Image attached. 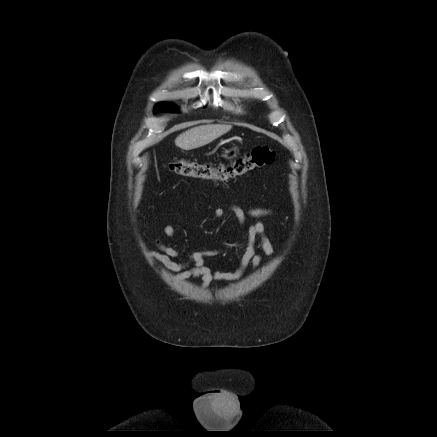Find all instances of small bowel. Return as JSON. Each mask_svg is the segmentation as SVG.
Segmentation results:
<instances>
[{
    "label": "small bowel",
    "instance_id": "1",
    "mask_svg": "<svg viewBox=\"0 0 437 437\" xmlns=\"http://www.w3.org/2000/svg\"><path fill=\"white\" fill-rule=\"evenodd\" d=\"M231 210L240 230L244 227L247 216L255 219L247 229L246 248L241 256L239 267L236 270H212L206 265V259L217 256L221 252L219 249L196 250L189 255L187 260L176 261L175 258L180 254L179 250L164 244L160 240H156L157 250L150 251L149 255L167 270L173 272L177 281H184L190 278H200L203 288L207 287L213 281L227 283L238 281L244 275L248 266L257 268L261 264L262 257L256 254L257 244L266 256L274 254V247L266 236L267 223L262 219L271 215L272 211L266 208H252L244 211L236 205L231 206ZM225 215V210L221 207L214 210V216L217 219H222ZM163 233L167 237L173 238L176 232L173 226L165 225L163 227Z\"/></svg>",
    "mask_w": 437,
    "mask_h": 437
}]
</instances>
